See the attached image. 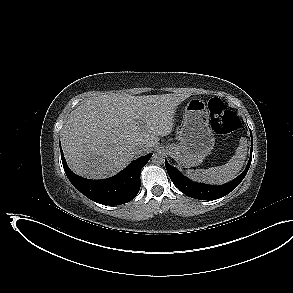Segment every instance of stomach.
<instances>
[{
  "instance_id": "stomach-1",
  "label": "stomach",
  "mask_w": 293,
  "mask_h": 293,
  "mask_svg": "<svg viewBox=\"0 0 293 293\" xmlns=\"http://www.w3.org/2000/svg\"><path fill=\"white\" fill-rule=\"evenodd\" d=\"M179 141V144L168 145L167 151L179 165L186 168L201 164L213 149L215 138L204 101L193 98L185 106Z\"/></svg>"
}]
</instances>
